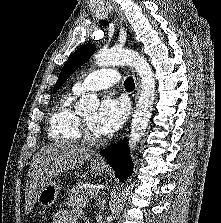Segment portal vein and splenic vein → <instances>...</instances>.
<instances>
[{"label": "portal vein and splenic vein", "instance_id": "1", "mask_svg": "<svg viewBox=\"0 0 221 223\" xmlns=\"http://www.w3.org/2000/svg\"><path fill=\"white\" fill-rule=\"evenodd\" d=\"M95 193H96L95 190H92V191H89V192H88V194H90V195H93V194H95Z\"/></svg>", "mask_w": 221, "mask_h": 223}]
</instances>
